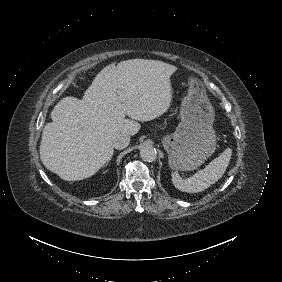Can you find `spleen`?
I'll return each mask as SVG.
<instances>
[{"instance_id":"spleen-1","label":"spleen","mask_w":282,"mask_h":282,"mask_svg":"<svg viewBox=\"0 0 282 282\" xmlns=\"http://www.w3.org/2000/svg\"><path fill=\"white\" fill-rule=\"evenodd\" d=\"M233 149L227 147L217 158L212 160L208 166L195 173L187 180L179 176L178 171L172 173L174 186L180 191L187 193H199L215 184L224 175L230 160Z\"/></svg>"}]
</instances>
